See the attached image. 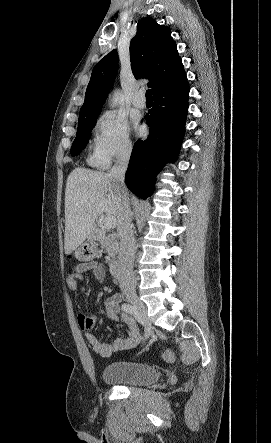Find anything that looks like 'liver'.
Here are the masks:
<instances>
[{
  "instance_id": "liver-1",
  "label": "liver",
  "mask_w": 271,
  "mask_h": 443,
  "mask_svg": "<svg viewBox=\"0 0 271 443\" xmlns=\"http://www.w3.org/2000/svg\"><path fill=\"white\" fill-rule=\"evenodd\" d=\"M121 192L113 178L104 172L75 168L65 190V253H72L94 229L100 214L121 216Z\"/></svg>"
}]
</instances>
